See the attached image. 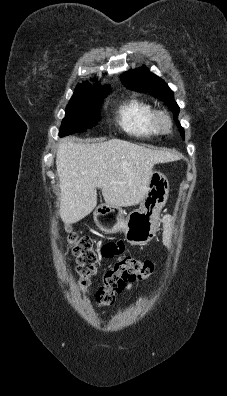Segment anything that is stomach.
I'll return each instance as SVG.
<instances>
[{"label": "stomach", "mask_w": 227, "mask_h": 396, "mask_svg": "<svg viewBox=\"0 0 227 396\" xmlns=\"http://www.w3.org/2000/svg\"><path fill=\"white\" fill-rule=\"evenodd\" d=\"M169 194V181L158 170H153L147 182V191L141 201V208L125 216L122 208L113 205H100L93 218L96 226L104 233L124 232L125 239L132 245L150 242L159 226V212Z\"/></svg>", "instance_id": "obj_1"}]
</instances>
